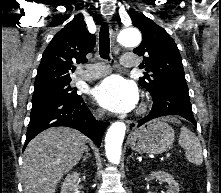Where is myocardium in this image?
Returning <instances> with one entry per match:
<instances>
[{
    "label": "myocardium",
    "instance_id": "myocardium-1",
    "mask_svg": "<svg viewBox=\"0 0 221 193\" xmlns=\"http://www.w3.org/2000/svg\"><path fill=\"white\" fill-rule=\"evenodd\" d=\"M140 110H141V111H143V110H144V108L142 107Z\"/></svg>",
    "mask_w": 221,
    "mask_h": 193
}]
</instances>
